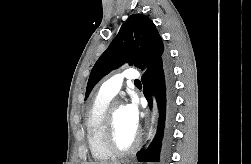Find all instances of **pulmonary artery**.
<instances>
[{
	"mask_svg": "<svg viewBox=\"0 0 251 164\" xmlns=\"http://www.w3.org/2000/svg\"><path fill=\"white\" fill-rule=\"evenodd\" d=\"M140 77L139 72L136 69H126L122 73L116 74L104 82L100 88V93L114 97L120 90L123 82L126 81H135Z\"/></svg>",
	"mask_w": 251,
	"mask_h": 164,
	"instance_id": "obj_1",
	"label": "pulmonary artery"
}]
</instances>
